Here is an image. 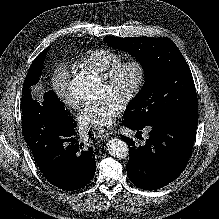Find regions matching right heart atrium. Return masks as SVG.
<instances>
[{"label":"right heart atrium","instance_id":"obj_1","mask_svg":"<svg viewBox=\"0 0 219 219\" xmlns=\"http://www.w3.org/2000/svg\"><path fill=\"white\" fill-rule=\"evenodd\" d=\"M71 74L65 66L57 67L51 76V89L63 105L69 108H77L79 100L74 98L70 91Z\"/></svg>","mask_w":219,"mask_h":219}]
</instances>
